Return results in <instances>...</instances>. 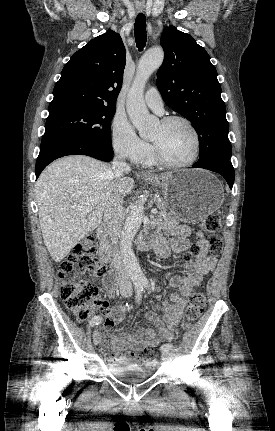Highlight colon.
I'll use <instances>...</instances> for the list:
<instances>
[{
  "label": "colon",
  "mask_w": 275,
  "mask_h": 431,
  "mask_svg": "<svg viewBox=\"0 0 275 431\" xmlns=\"http://www.w3.org/2000/svg\"><path fill=\"white\" fill-rule=\"evenodd\" d=\"M202 232L217 235L221 231V222L217 214H209L199 222ZM96 243L93 235H87L74 247L69 256L61 262L58 270L60 278V297L71 313L81 321L88 319L95 308H102L105 303L97 300L98 287L88 281L69 279L68 275L78 277L89 273L94 277H100L105 273V266L95 254ZM222 251V242L218 238L210 240L208 253L218 256ZM204 255L197 244L184 255L185 261H192L194 257ZM205 306V297L202 292L192 293L189 297L188 307L185 313L186 326H191L198 320ZM141 364L147 369L158 366V360L154 357L153 349L146 348L139 357Z\"/></svg>",
  "instance_id": "colon-1"
}]
</instances>
